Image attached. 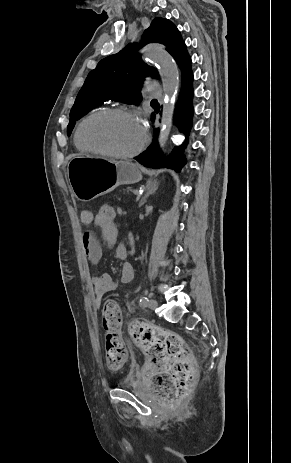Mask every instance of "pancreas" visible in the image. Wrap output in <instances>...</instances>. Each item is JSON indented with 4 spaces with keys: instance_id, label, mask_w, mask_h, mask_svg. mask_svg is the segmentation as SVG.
Here are the masks:
<instances>
[{
    "instance_id": "cf45deb5",
    "label": "pancreas",
    "mask_w": 291,
    "mask_h": 463,
    "mask_svg": "<svg viewBox=\"0 0 291 463\" xmlns=\"http://www.w3.org/2000/svg\"><path fill=\"white\" fill-rule=\"evenodd\" d=\"M122 194L125 196H130L131 193H133V188L131 187H126L121 190Z\"/></svg>"
}]
</instances>
